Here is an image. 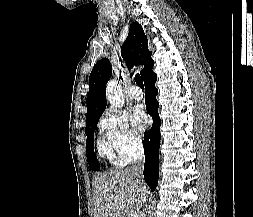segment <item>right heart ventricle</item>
<instances>
[{"label":"right heart ventricle","mask_w":253,"mask_h":217,"mask_svg":"<svg viewBox=\"0 0 253 217\" xmlns=\"http://www.w3.org/2000/svg\"><path fill=\"white\" fill-rule=\"evenodd\" d=\"M97 149H98L100 156L106 158L111 163L118 165V166L123 164V161L116 154L115 150L112 148V146L106 140L105 137H101L97 140Z\"/></svg>","instance_id":"e07e8e85"}]
</instances>
